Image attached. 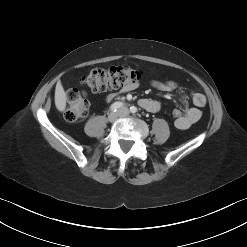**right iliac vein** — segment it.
<instances>
[{
    "label": "right iliac vein",
    "mask_w": 247,
    "mask_h": 247,
    "mask_svg": "<svg viewBox=\"0 0 247 247\" xmlns=\"http://www.w3.org/2000/svg\"><path fill=\"white\" fill-rule=\"evenodd\" d=\"M120 116V112H111L109 115H108V120L109 122H115L117 120V118Z\"/></svg>",
    "instance_id": "right-iliac-vein-1"
}]
</instances>
